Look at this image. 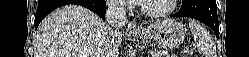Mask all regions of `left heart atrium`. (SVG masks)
Segmentation results:
<instances>
[{"label": "left heart atrium", "mask_w": 249, "mask_h": 57, "mask_svg": "<svg viewBox=\"0 0 249 57\" xmlns=\"http://www.w3.org/2000/svg\"><path fill=\"white\" fill-rule=\"evenodd\" d=\"M134 2H136V3H143L144 0H134Z\"/></svg>", "instance_id": "1"}]
</instances>
